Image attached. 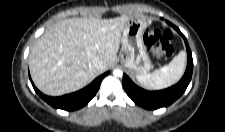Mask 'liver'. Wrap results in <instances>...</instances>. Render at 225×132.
<instances>
[{
	"instance_id": "1",
	"label": "liver",
	"mask_w": 225,
	"mask_h": 132,
	"mask_svg": "<svg viewBox=\"0 0 225 132\" xmlns=\"http://www.w3.org/2000/svg\"><path fill=\"white\" fill-rule=\"evenodd\" d=\"M130 18H71L51 26L28 58L35 86L46 95L61 96L87 85L100 74L89 68L94 59L104 62V71L116 61L121 33Z\"/></svg>"
}]
</instances>
